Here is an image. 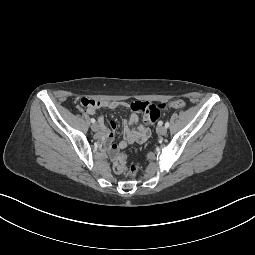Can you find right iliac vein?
Returning <instances> with one entry per match:
<instances>
[{
	"instance_id": "obj_1",
	"label": "right iliac vein",
	"mask_w": 255,
	"mask_h": 255,
	"mask_svg": "<svg viewBox=\"0 0 255 255\" xmlns=\"http://www.w3.org/2000/svg\"><path fill=\"white\" fill-rule=\"evenodd\" d=\"M91 129L95 132H97L99 130V125L97 123H93L91 126Z\"/></svg>"
}]
</instances>
